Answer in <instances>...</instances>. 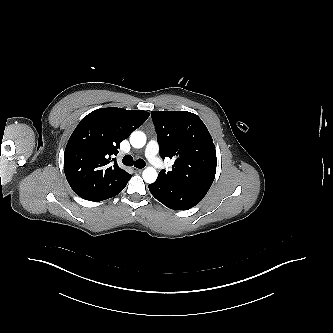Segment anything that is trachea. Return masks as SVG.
Segmentation results:
<instances>
[{
    "label": "trachea",
    "instance_id": "1",
    "mask_svg": "<svg viewBox=\"0 0 333 333\" xmlns=\"http://www.w3.org/2000/svg\"><path fill=\"white\" fill-rule=\"evenodd\" d=\"M122 162L126 166L134 165L136 168H139V169L145 167V165H146L144 160H142V159H138V160L134 161L133 157L131 155L124 156Z\"/></svg>",
    "mask_w": 333,
    "mask_h": 333
}]
</instances>
